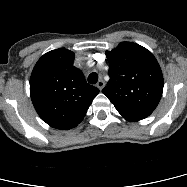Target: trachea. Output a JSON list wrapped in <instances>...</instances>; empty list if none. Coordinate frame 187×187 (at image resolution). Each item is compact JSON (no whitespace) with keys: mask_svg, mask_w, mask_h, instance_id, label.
I'll return each mask as SVG.
<instances>
[{"mask_svg":"<svg viewBox=\"0 0 187 187\" xmlns=\"http://www.w3.org/2000/svg\"><path fill=\"white\" fill-rule=\"evenodd\" d=\"M97 81H98V74L96 72H93L88 76V82L90 84H95Z\"/></svg>","mask_w":187,"mask_h":187,"instance_id":"trachea-1","label":"trachea"}]
</instances>
